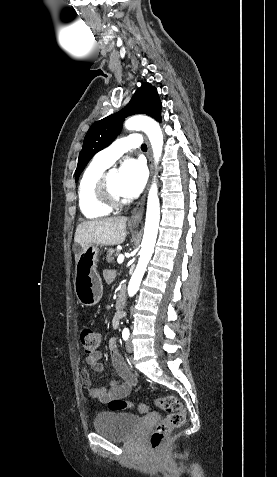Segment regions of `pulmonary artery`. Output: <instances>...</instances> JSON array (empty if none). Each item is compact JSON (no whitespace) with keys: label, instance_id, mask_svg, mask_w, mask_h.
<instances>
[{"label":"pulmonary artery","instance_id":"obj_1","mask_svg":"<svg viewBox=\"0 0 277 477\" xmlns=\"http://www.w3.org/2000/svg\"><path fill=\"white\" fill-rule=\"evenodd\" d=\"M141 144L138 134H131L116 140L112 145L100 151L95 160L105 166H111L120 156L131 148H137Z\"/></svg>","mask_w":277,"mask_h":477}]
</instances>
